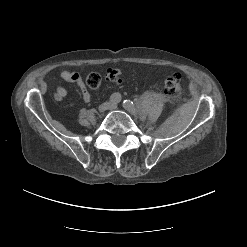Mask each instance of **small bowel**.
<instances>
[{"label":"small bowel","instance_id":"c3829d8e","mask_svg":"<svg viewBox=\"0 0 247 247\" xmlns=\"http://www.w3.org/2000/svg\"><path fill=\"white\" fill-rule=\"evenodd\" d=\"M115 70L117 71V75L113 79H109V80L114 83H119L120 76L123 74L124 70L122 68H116ZM59 77L63 81L76 83L81 88L82 99L85 102H89L91 100V95L85 88L83 79L79 73L70 72V71H62ZM66 95H67V89L62 85H58L56 88L55 94H54L55 100L61 101Z\"/></svg>","mask_w":247,"mask_h":247}]
</instances>
